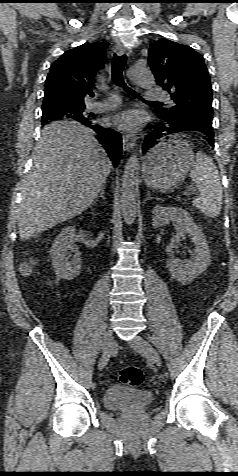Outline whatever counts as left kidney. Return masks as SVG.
Segmentation results:
<instances>
[{
    "label": "left kidney",
    "mask_w": 238,
    "mask_h": 476,
    "mask_svg": "<svg viewBox=\"0 0 238 476\" xmlns=\"http://www.w3.org/2000/svg\"><path fill=\"white\" fill-rule=\"evenodd\" d=\"M152 213L153 226L155 228H160L170 222L176 223L178 226L177 234L166 247L167 255L172 256V249L186 234L192 237L195 245L192 261H180L173 257H170L167 261V268L172 277L182 284H189L202 274L210 263V251L204 235L194 223L191 215L184 209L156 205Z\"/></svg>",
    "instance_id": "obj_1"
}]
</instances>
